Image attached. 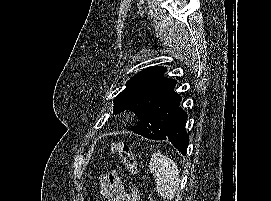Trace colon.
<instances>
[{
    "label": "colon",
    "mask_w": 271,
    "mask_h": 201,
    "mask_svg": "<svg viewBox=\"0 0 271 201\" xmlns=\"http://www.w3.org/2000/svg\"><path fill=\"white\" fill-rule=\"evenodd\" d=\"M112 151L121 159L127 171L135 176L137 174L136 158L131 146L127 142H116L112 145ZM131 201H137L136 192H133Z\"/></svg>",
    "instance_id": "colon-1"
}]
</instances>
